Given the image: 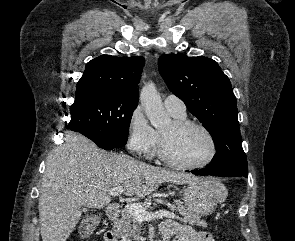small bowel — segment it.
I'll use <instances>...</instances> for the list:
<instances>
[{"instance_id":"1","label":"small bowel","mask_w":295,"mask_h":241,"mask_svg":"<svg viewBox=\"0 0 295 241\" xmlns=\"http://www.w3.org/2000/svg\"><path fill=\"white\" fill-rule=\"evenodd\" d=\"M161 234L173 241H213L205 232H197L191 226L168 220L161 225ZM104 241H116L113 233L107 232Z\"/></svg>"}]
</instances>
